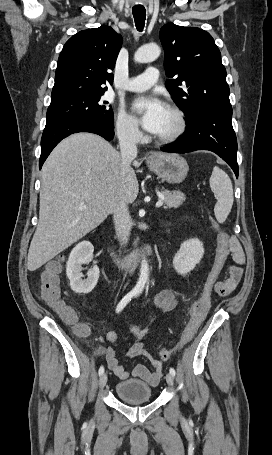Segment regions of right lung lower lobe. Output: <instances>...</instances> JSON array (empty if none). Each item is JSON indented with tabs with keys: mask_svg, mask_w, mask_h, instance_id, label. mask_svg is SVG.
I'll return each instance as SVG.
<instances>
[{
	"mask_svg": "<svg viewBox=\"0 0 272 455\" xmlns=\"http://www.w3.org/2000/svg\"><path fill=\"white\" fill-rule=\"evenodd\" d=\"M113 129L114 125L109 126L96 119H66L46 124L41 139L39 168L41 169L53 148L70 134L90 132L110 141L114 137Z\"/></svg>",
	"mask_w": 272,
	"mask_h": 455,
	"instance_id": "obj_1",
	"label": "right lung lower lobe"
}]
</instances>
